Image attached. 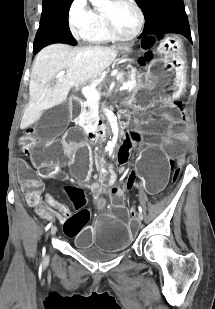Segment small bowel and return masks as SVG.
Instances as JSON below:
<instances>
[{"label": "small bowel", "mask_w": 215, "mask_h": 309, "mask_svg": "<svg viewBox=\"0 0 215 309\" xmlns=\"http://www.w3.org/2000/svg\"><path fill=\"white\" fill-rule=\"evenodd\" d=\"M135 143V139L134 137H129L128 139H126L124 141V143L122 144V148L124 150H127L128 148H130L133 144ZM32 185L34 187H40V183L34 181L32 183ZM111 194L114 197L116 202H121L123 199V195H124V188L122 187H118V186H114L111 188ZM29 198L31 200V202L34 205L38 204V191H33L29 194ZM59 211L61 212V214L65 217V218H69L71 215H68V208L65 206H59L58 207ZM134 217V216H133Z\"/></svg>", "instance_id": "1"}]
</instances>
